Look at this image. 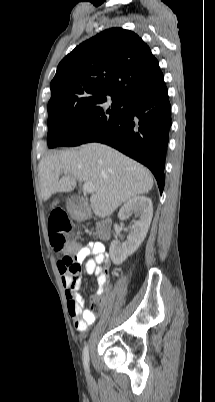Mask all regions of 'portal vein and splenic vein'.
<instances>
[{
	"label": "portal vein and splenic vein",
	"mask_w": 215,
	"mask_h": 402,
	"mask_svg": "<svg viewBox=\"0 0 215 402\" xmlns=\"http://www.w3.org/2000/svg\"><path fill=\"white\" fill-rule=\"evenodd\" d=\"M82 189H83L84 192L93 193L94 190H95V187L93 186L92 183H84L82 185Z\"/></svg>",
	"instance_id": "18ae733b"
}]
</instances>
